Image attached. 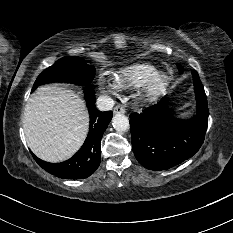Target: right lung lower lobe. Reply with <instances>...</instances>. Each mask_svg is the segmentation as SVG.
Returning a JSON list of instances; mask_svg holds the SVG:
<instances>
[{"label": "right lung lower lobe", "mask_w": 233, "mask_h": 233, "mask_svg": "<svg viewBox=\"0 0 233 233\" xmlns=\"http://www.w3.org/2000/svg\"><path fill=\"white\" fill-rule=\"evenodd\" d=\"M90 114V131L81 149L69 160L62 163H49L37 158L35 161L47 172L66 179H84L92 175L101 161V139L112 119L111 111L101 112L95 106L94 91H84Z\"/></svg>", "instance_id": "right-lung-lower-lobe-1"}]
</instances>
